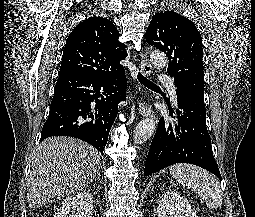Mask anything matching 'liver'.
<instances>
[{
	"instance_id": "liver-1",
	"label": "liver",
	"mask_w": 255,
	"mask_h": 217,
	"mask_svg": "<svg viewBox=\"0 0 255 217\" xmlns=\"http://www.w3.org/2000/svg\"><path fill=\"white\" fill-rule=\"evenodd\" d=\"M100 168V156L91 145L72 137L42 141L32 155L27 198L30 208L84 188Z\"/></svg>"
}]
</instances>
